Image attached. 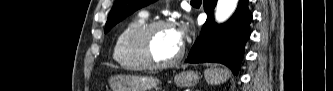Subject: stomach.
<instances>
[{"label":"stomach","mask_w":333,"mask_h":91,"mask_svg":"<svg viewBox=\"0 0 333 91\" xmlns=\"http://www.w3.org/2000/svg\"><path fill=\"white\" fill-rule=\"evenodd\" d=\"M200 77L192 71H183L174 78L175 83L182 87H191L197 84ZM111 91H152L158 80L148 76L116 75L108 79Z\"/></svg>","instance_id":"1"}]
</instances>
